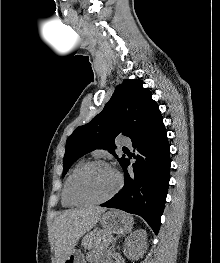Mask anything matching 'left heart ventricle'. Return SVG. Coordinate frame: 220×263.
<instances>
[{
    "instance_id": "b2bd125f",
    "label": "left heart ventricle",
    "mask_w": 220,
    "mask_h": 263,
    "mask_svg": "<svg viewBox=\"0 0 220 263\" xmlns=\"http://www.w3.org/2000/svg\"><path fill=\"white\" fill-rule=\"evenodd\" d=\"M117 183L114 170L95 165L83 171L74 182V194L82 200L99 199L109 194Z\"/></svg>"
}]
</instances>
